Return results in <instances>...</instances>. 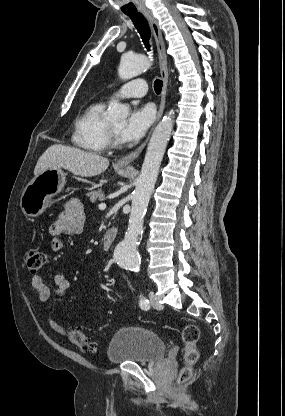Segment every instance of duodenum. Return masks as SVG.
<instances>
[{"label": "duodenum", "mask_w": 285, "mask_h": 416, "mask_svg": "<svg viewBox=\"0 0 285 416\" xmlns=\"http://www.w3.org/2000/svg\"><path fill=\"white\" fill-rule=\"evenodd\" d=\"M117 236V229L115 227H110L107 229L103 235L102 248L104 251H109L112 247V244Z\"/></svg>", "instance_id": "410a0bca"}]
</instances>
